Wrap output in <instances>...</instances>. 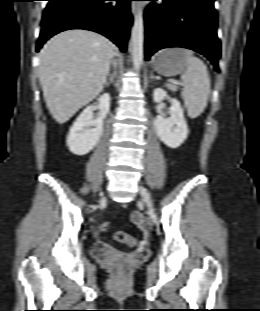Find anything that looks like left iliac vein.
Segmentation results:
<instances>
[{
    "label": "left iliac vein",
    "mask_w": 260,
    "mask_h": 311,
    "mask_svg": "<svg viewBox=\"0 0 260 311\" xmlns=\"http://www.w3.org/2000/svg\"><path fill=\"white\" fill-rule=\"evenodd\" d=\"M139 190H140L142 200L144 201V203L148 207L149 211L152 212V200H151L149 192L143 186H140Z\"/></svg>",
    "instance_id": "obj_1"
}]
</instances>
